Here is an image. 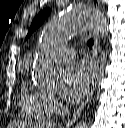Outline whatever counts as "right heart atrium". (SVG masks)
<instances>
[{
	"label": "right heart atrium",
	"mask_w": 125,
	"mask_h": 128,
	"mask_svg": "<svg viewBox=\"0 0 125 128\" xmlns=\"http://www.w3.org/2000/svg\"><path fill=\"white\" fill-rule=\"evenodd\" d=\"M46 97L53 111L61 108V102L55 95L47 94Z\"/></svg>",
	"instance_id": "1"
}]
</instances>
